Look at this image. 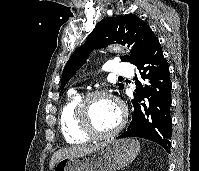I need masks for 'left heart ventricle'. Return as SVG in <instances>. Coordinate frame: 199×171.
I'll use <instances>...</instances> for the list:
<instances>
[{"mask_svg": "<svg viewBox=\"0 0 199 171\" xmlns=\"http://www.w3.org/2000/svg\"><path fill=\"white\" fill-rule=\"evenodd\" d=\"M91 118L96 130L109 131L117 125L120 109L109 98H97L91 103Z\"/></svg>", "mask_w": 199, "mask_h": 171, "instance_id": "left-heart-ventricle-1", "label": "left heart ventricle"}]
</instances>
